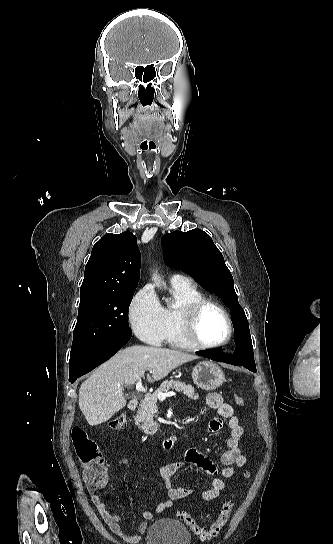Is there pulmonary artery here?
Segmentation results:
<instances>
[{
	"label": "pulmonary artery",
	"mask_w": 333,
	"mask_h": 544,
	"mask_svg": "<svg viewBox=\"0 0 333 544\" xmlns=\"http://www.w3.org/2000/svg\"><path fill=\"white\" fill-rule=\"evenodd\" d=\"M170 283L172 286H188L192 285V280L187 276L174 274L170 279Z\"/></svg>",
	"instance_id": "1"
}]
</instances>
